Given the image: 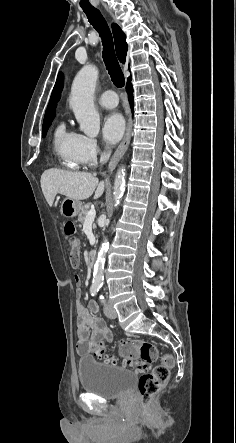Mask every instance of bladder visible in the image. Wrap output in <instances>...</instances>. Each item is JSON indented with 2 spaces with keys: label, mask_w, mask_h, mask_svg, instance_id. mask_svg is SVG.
Returning <instances> with one entry per match:
<instances>
[{
  "label": "bladder",
  "mask_w": 236,
  "mask_h": 443,
  "mask_svg": "<svg viewBox=\"0 0 236 443\" xmlns=\"http://www.w3.org/2000/svg\"><path fill=\"white\" fill-rule=\"evenodd\" d=\"M79 378L84 392L103 399L124 397L136 383L134 371L112 367L83 357L78 362Z\"/></svg>",
  "instance_id": "obj_1"
}]
</instances>
